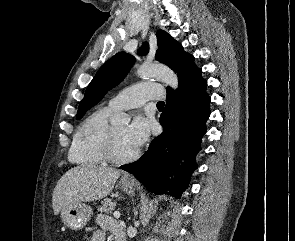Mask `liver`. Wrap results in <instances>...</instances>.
<instances>
[{
  "label": "liver",
  "instance_id": "liver-1",
  "mask_svg": "<svg viewBox=\"0 0 295 241\" xmlns=\"http://www.w3.org/2000/svg\"><path fill=\"white\" fill-rule=\"evenodd\" d=\"M120 172L114 168L82 165L68 170L57 182L52 196V207L57 215L67 205L91 202L107 197Z\"/></svg>",
  "mask_w": 295,
  "mask_h": 241
}]
</instances>
